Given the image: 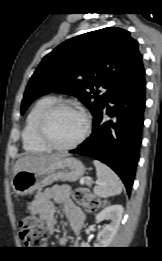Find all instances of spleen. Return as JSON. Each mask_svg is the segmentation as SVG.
<instances>
[{"label": "spleen", "instance_id": "obj_1", "mask_svg": "<svg viewBox=\"0 0 162 261\" xmlns=\"http://www.w3.org/2000/svg\"><path fill=\"white\" fill-rule=\"evenodd\" d=\"M93 164L96 167L98 178L93 190L94 194L101 198L120 194L123 185L117 174L98 160H94Z\"/></svg>", "mask_w": 162, "mask_h": 261}]
</instances>
